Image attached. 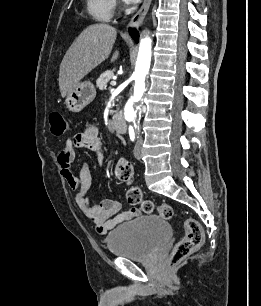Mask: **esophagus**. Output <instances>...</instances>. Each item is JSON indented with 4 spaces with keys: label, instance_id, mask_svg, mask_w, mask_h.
<instances>
[{
    "label": "esophagus",
    "instance_id": "34e87169",
    "mask_svg": "<svg viewBox=\"0 0 261 306\" xmlns=\"http://www.w3.org/2000/svg\"><path fill=\"white\" fill-rule=\"evenodd\" d=\"M152 0H144L140 9L135 13V15L131 18L128 28H138L143 18L145 17ZM125 37H129L128 30L125 32Z\"/></svg>",
    "mask_w": 261,
    "mask_h": 306
}]
</instances>
